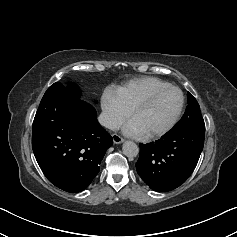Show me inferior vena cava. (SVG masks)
Masks as SVG:
<instances>
[{"mask_svg":"<svg viewBox=\"0 0 237 237\" xmlns=\"http://www.w3.org/2000/svg\"><path fill=\"white\" fill-rule=\"evenodd\" d=\"M98 121L101 126L106 127L111 130H116L119 128L118 120L107 113H101L98 117Z\"/></svg>","mask_w":237,"mask_h":237,"instance_id":"inferior-vena-cava-1","label":"inferior vena cava"}]
</instances>
